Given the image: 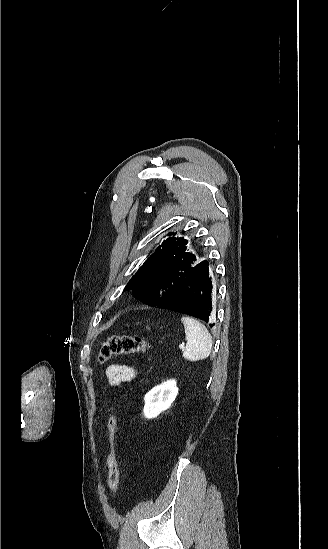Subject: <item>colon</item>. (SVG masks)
I'll use <instances>...</instances> for the list:
<instances>
[{"instance_id": "obj_1", "label": "colon", "mask_w": 328, "mask_h": 549, "mask_svg": "<svg viewBox=\"0 0 328 549\" xmlns=\"http://www.w3.org/2000/svg\"><path fill=\"white\" fill-rule=\"evenodd\" d=\"M150 343L144 338L131 335H113L109 337L102 345L98 360L104 363L112 357L120 355H131L134 353H143L150 348ZM119 419L112 415L108 421V486L112 494H116L119 489L120 475L115 450V438L118 430Z\"/></svg>"}]
</instances>
